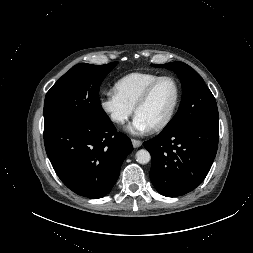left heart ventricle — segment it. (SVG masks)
Listing matches in <instances>:
<instances>
[{
	"instance_id": "1",
	"label": "left heart ventricle",
	"mask_w": 253,
	"mask_h": 253,
	"mask_svg": "<svg viewBox=\"0 0 253 253\" xmlns=\"http://www.w3.org/2000/svg\"><path fill=\"white\" fill-rule=\"evenodd\" d=\"M176 96L174 83L169 80L161 81L153 91L148 102L139 109L137 116L151 128L161 123L169 114Z\"/></svg>"
}]
</instances>
